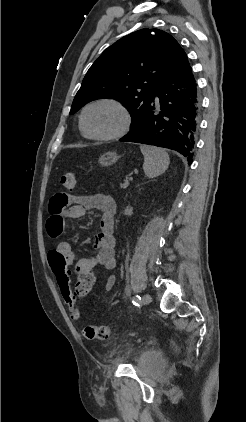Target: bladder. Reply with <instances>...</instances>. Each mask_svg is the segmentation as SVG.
Instances as JSON below:
<instances>
[{"label": "bladder", "mask_w": 246, "mask_h": 422, "mask_svg": "<svg viewBox=\"0 0 246 422\" xmlns=\"http://www.w3.org/2000/svg\"><path fill=\"white\" fill-rule=\"evenodd\" d=\"M144 359L153 367H161L164 364L163 355L157 351L147 353Z\"/></svg>", "instance_id": "obj_1"}]
</instances>
